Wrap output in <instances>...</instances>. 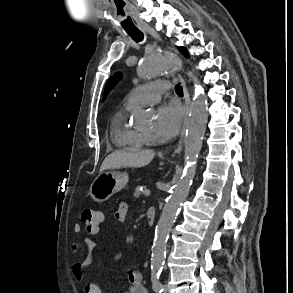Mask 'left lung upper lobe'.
Returning a JSON list of instances; mask_svg holds the SVG:
<instances>
[{
	"label": "left lung upper lobe",
	"mask_w": 293,
	"mask_h": 293,
	"mask_svg": "<svg viewBox=\"0 0 293 293\" xmlns=\"http://www.w3.org/2000/svg\"><path fill=\"white\" fill-rule=\"evenodd\" d=\"M179 49H180V51L181 52H183L185 55H187L188 53H187V51H186V49L185 48H183V47H178ZM121 78V75L120 74H116L114 77H112L109 81H108V83H107V85H106V87H105V94H104V96L107 94V92L119 81V79Z\"/></svg>",
	"instance_id": "left-lung-upper-lobe-1"
}]
</instances>
